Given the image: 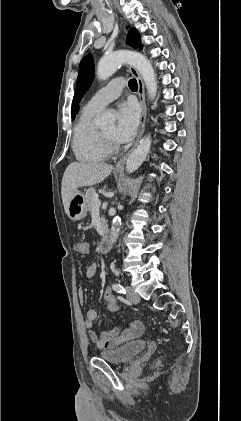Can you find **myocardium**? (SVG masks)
Segmentation results:
<instances>
[{
    "label": "myocardium",
    "mask_w": 241,
    "mask_h": 421,
    "mask_svg": "<svg viewBox=\"0 0 241 421\" xmlns=\"http://www.w3.org/2000/svg\"><path fill=\"white\" fill-rule=\"evenodd\" d=\"M102 140L106 146V148L109 150V152H116L118 151L119 147L115 143L114 139L106 136L103 132H101Z\"/></svg>",
    "instance_id": "obj_1"
}]
</instances>
